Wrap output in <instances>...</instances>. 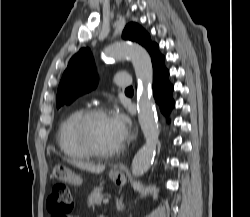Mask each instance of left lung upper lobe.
I'll use <instances>...</instances> for the list:
<instances>
[{"mask_svg":"<svg viewBox=\"0 0 250 217\" xmlns=\"http://www.w3.org/2000/svg\"><path fill=\"white\" fill-rule=\"evenodd\" d=\"M123 38L137 42L151 54L156 43L151 42L149 34L138 24L129 23ZM97 86V75L92 54L88 48H82L69 61L57 90V108L72 103L78 96Z\"/></svg>","mask_w":250,"mask_h":217,"instance_id":"left-lung-upper-lobe-1","label":"left lung upper lobe"}]
</instances>
